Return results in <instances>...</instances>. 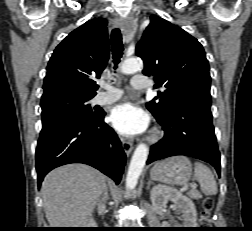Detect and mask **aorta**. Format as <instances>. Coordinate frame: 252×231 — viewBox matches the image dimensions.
I'll return each instance as SVG.
<instances>
[{
    "label": "aorta",
    "mask_w": 252,
    "mask_h": 231,
    "mask_svg": "<svg viewBox=\"0 0 252 231\" xmlns=\"http://www.w3.org/2000/svg\"><path fill=\"white\" fill-rule=\"evenodd\" d=\"M121 71L124 74H133L143 69V61L139 58L126 59L121 64ZM149 148L146 144H139L131 158L126 176V189L130 190L136 187L138 179L147 161Z\"/></svg>",
    "instance_id": "762f6f07"
}]
</instances>
